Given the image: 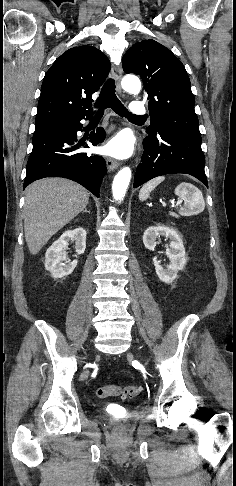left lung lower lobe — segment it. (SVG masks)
<instances>
[{"label": "left lung lower lobe", "mask_w": 236, "mask_h": 486, "mask_svg": "<svg viewBox=\"0 0 236 486\" xmlns=\"http://www.w3.org/2000/svg\"><path fill=\"white\" fill-rule=\"evenodd\" d=\"M144 153L134 177V188L150 179L173 173L190 174L208 187L201 135L180 130L159 131L143 141Z\"/></svg>", "instance_id": "0a47b994"}]
</instances>
